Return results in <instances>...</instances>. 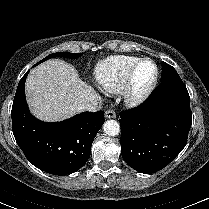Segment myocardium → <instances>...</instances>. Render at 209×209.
Segmentation results:
<instances>
[{
	"label": "myocardium",
	"mask_w": 209,
	"mask_h": 209,
	"mask_svg": "<svg viewBox=\"0 0 209 209\" xmlns=\"http://www.w3.org/2000/svg\"><path fill=\"white\" fill-rule=\"evenodd\" d=\"M144 62H151L155 68V74L151 83L144 89L138 90L135 87V75L139 68V66ZM159 79V68L154 60L151 58H141L139 59L133 67L130 69L126 82L122 88V95L125 102L130 106H137L142 104L144 101L148 99V97L152 94L155 87L157 86Z\"/></svg>",
	"instance_id": "obj_1"
}]
</instances>
